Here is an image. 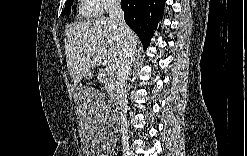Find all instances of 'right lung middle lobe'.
<instances>
[{"mask_svg": "<svg viewBox=\"0 0 247 156\" xmlns=\"http://www.w3.org/2000/svg\"><path fill=\"white\" fill-rule=\"evenodd\" d=\"M72 3H73L72 0H70L67 3H65L64 15L68 16L70 14Z\"/></svg>", "mask_w": 247, "mask_h": 156, "instance_id": "1", "label": "right lung middle lobe"}]
</instances>
